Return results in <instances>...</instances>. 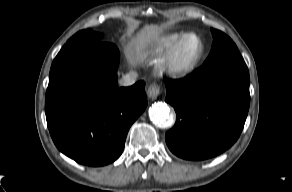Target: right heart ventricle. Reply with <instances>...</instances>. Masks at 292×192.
<instances>
[{"label":"right heart ventricle","mask_w":292,"mask_h":192,"mask_svg":"<svg viewBox=\"0 0 292 192\" xmlns=\"http://www.w3.org/2000/svg\"><path fill=\"white\" fill-rule=\"evenodd\" d=\"M186 33L174 32L158 38L151 46V51L157 56H167L178 40Z\"/></svg>","instance_id":"obj_1"}]
</instances>
